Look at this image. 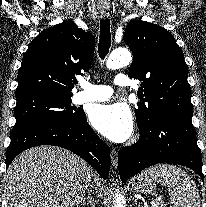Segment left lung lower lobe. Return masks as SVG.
I'll return each instance as SVG.
<instances>
[{"instance_id":"left-lung-lower-lobe-1","label":"left lung lower lobe","mask_w":206,"mask_h":207,"mask_svg":"<svg viewBox=\"0 0 206 207\" xmlns=\"http://www.w3.org/2000/svg\"><path fill=\"white\" fill-rule=\"evenodd\" d=\"M191 118L186 114H160L150 127L140 128L139 141L119 152L122 182L146 167L165 162L189 167L203 180L202 158Z\"/></svg>"}]
</instances>
